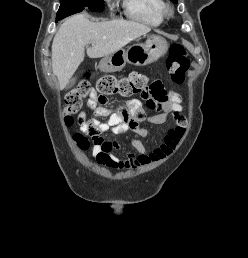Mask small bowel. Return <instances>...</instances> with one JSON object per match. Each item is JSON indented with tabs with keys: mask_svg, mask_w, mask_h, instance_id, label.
I'll return each instance as SVG.
<instances>
[{
	"mask_svg": "<svg viewBox=\"0 0 248 258\" xmlns=\"http://www.w3.org/2000/svg\"><path fill=\"white\" fill-rule=\"evenodd\" d=\"M161 83L156 81L157 95L164 96L163 99L144 96V100L140 101L133 99L129 101L128 111L122 114L111 113L109 109L103 105L104 100L98 105V94L95 90H91L89 94V105L93 108L94 114L97 117H106L108 120L105 123L97 120L87 121L83 114L80 119V125L85 132H89L94 136H99L104 130L109 128L115 131L131 130L136 135L144 137L148 134L146 128L141 126V123L147 120L153 124L166 123L170 118H173L175 124L170 127L164 137L163 142L148 150L145 145L138 139L132 141V146L136 153H130L125 159L116 157L112 150L119 148L117 142H96L92 153L100 165L111 168H138L141 166L156 163L168 158L178 147L187 128V120L182 114L181 96L176 92L162 93L159 89ZM145 107L151 110L162 109L163 112L153 116H148L145 112Z\"/></svg>",
	"mask_w": 248,
	"mask_h": 258,
	"instance_id": "small-bowel-1",
	"label": "small bowel"
}]
</instances>
